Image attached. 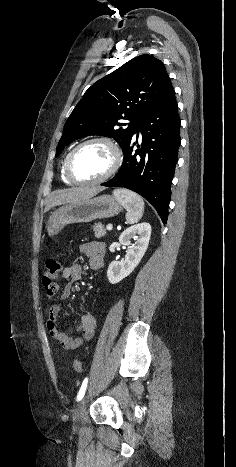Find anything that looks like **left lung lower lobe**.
<instances>
[{
	"label": "left lung lower lobe",
	"instance_id": "left-lung-lower-lobe-1",
	"mask_svg": "<svg viewBox=\"0 0 236 467\" xmlns=\"http://www.w3.org/2000/svg\"><path fill=\"white\" fill-rule=\"evenodd\" d=\"M181 120L175 92L171 87L160 102L138 123L133 135L142 133L141 148L135 152L132 137L123 149V164L114 178L102 183L124 187L143 196L167 222L171 183L178 160ZM138 138V134H137Z\"/></svg>",
	"mask_w": 236,
	"mask_h": 467
}]
</instances>
